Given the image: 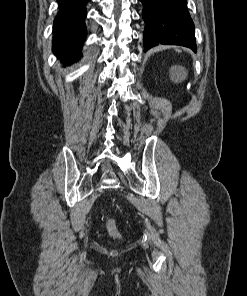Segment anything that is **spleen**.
<instances>
[{
  "label": "spleen",
  "mask_w": 247,
  "mask_h": 296,
  "mask_svg": "<svg viewBox=\"0 0 247 296\" xmlns=\"http://www.w3.org/2000/svg\"><path fill=\"white\" fill-rule=\"evenodd\" d=\"M184 77H185V72L182 69H180L179 72L177 73L176 79L181 81L184 79Z\"/></svg>",
  "instance_id": "3e777b00"
}]
</instances>
